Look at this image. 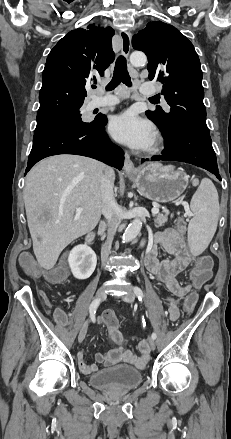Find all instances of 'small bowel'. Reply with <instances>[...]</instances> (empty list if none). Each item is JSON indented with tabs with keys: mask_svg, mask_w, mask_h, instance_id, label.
<instances>
[{
	"mask_svg": "<svg viewBox=\"0 0 231 439\" xmlns=\"http://www.w3.org/2000/svg\"><path fill=\"white\" fill-rule=\"evenodd\" d=\"M159 246L170 255V258L159 260ZM190 261L191 254L188 251L183 233L179 230L169 228L164 231L155 232L149 239L145 251V266L170 293V295L165 297V300L168 305L169 318L172 321L177 320L180 315L179 299L183 297L184 293L192 291L190 285H183L177 279V275L185 270ZM53 317L58 324H67V315L61 308H56L53 311ZM101 322L105 325L115 347L106 353H98L95 357L96 361L106 366L125 363L139 369L144 368L149 360L147 343L145 341L139 342L138 346L141 354L136 355L130 349L125 348V338L118 329V321L113 313H105L101 318ZM78 363L81 371L86 374L97 370L95 364L86 362L85 351L78 353Z\"/></svg>",
	"mask_w": 231,
	"mask_h": 439,
	"instance_id": "obj_1",
	"label": "small bowel"
}]
</instances>
